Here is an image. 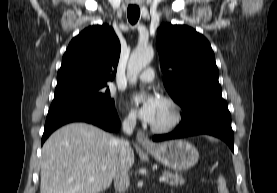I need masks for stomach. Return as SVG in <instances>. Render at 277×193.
I'll return each mask as SVG.
<instances>
[{"label": "stomach", "instance_id": "obj_1", "mask_svg": "<svg viewBox=\"0 0 277 193\" xmlns=\"http://www.w3.org/2000/svg\"><path fill=\"white\" fill-rule=\"evenodd\" d=\"M146 150L158 162L175 171L189 169L199 159L197 149L186 140H171Z\"/></svg>", "mask_w": 277, "mask_h": 193}]
</instances>
